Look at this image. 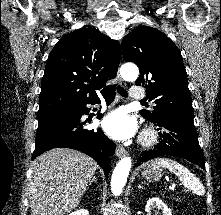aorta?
I'll return each mask as SVG.
<instances>
[{
    "mask_svg": "<svg viewBox=\"0 0 221 215\" xmlns=\"http://www.w3.org/2000/svg\"><path fill=\"white\" fill-rule=\"evenodd\" d=\"M120 74L126 81H135L139 76V69L135 64L127 63L121 67ZM131 166L132 160L130 157H124L117 163L111 178V190L114 196L121 194Z\"/></svg>",
    "mask_w": 221,
    "mask_h": 215,
    "instance_id": "1",
    "label": "aorta"
}]
</instances>
